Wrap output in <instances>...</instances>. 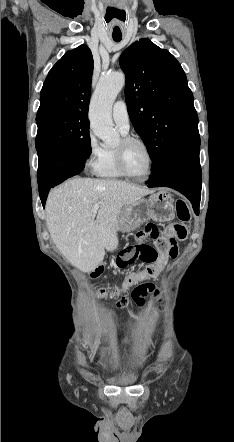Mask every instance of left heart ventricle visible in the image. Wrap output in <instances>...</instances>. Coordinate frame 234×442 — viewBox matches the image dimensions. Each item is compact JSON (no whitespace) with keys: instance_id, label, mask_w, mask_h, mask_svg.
<instances>
[{"instance_id":"obj_1","label":"left heart ventricle","mask_w":234,"mask_h":442,"mask_svg":"<svg viewBox=\"0 0 234 442\" xmlns=\"http://www.w3.org/2000/svg\"><path fill=\"white\" fill-rule=\"evenodd\" d=\"M120 145V142L117 146ZM125 163L128 171L136 176H143L148 170V157L144 148L131 144L125 149Z\"/></svg>"}]
</instances>
